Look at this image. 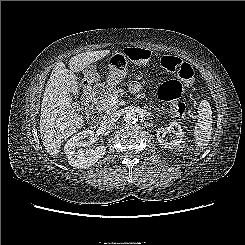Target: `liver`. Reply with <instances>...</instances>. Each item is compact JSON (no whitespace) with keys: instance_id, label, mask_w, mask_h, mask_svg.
I'll return each instance as SVG.
<instances>
[{"instance_id":"1","label":"liver","mask_w":245,"mask_h":245,"mask_svg":"<svg viewBox=\"0 0 245 245\" xmlns=\"http://www.w3.org/2000/svg\"><path fill=\"white\" fill-rule=\"evenodd\" d=\"M110 50L89 51L69 60V69L58 61L47 81L41 104L40 135L45 150L56 158L64 140L84 126V120L72 106L73 95L80 94L75 73L101 60Z\"/></svg>"}]
</instances>
